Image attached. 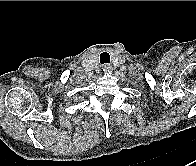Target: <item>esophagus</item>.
I'll list each match as a JSON object with an SVG mask.
<instances>
[{"label":"esophagus","mask_w":196,"mask_h":166,"mask_svg":"<svg viewBox=\"0 0 196 166\" xmlns=\"http://www.w3.org/2000/svg\"><path fill=\"white\" fill-rule=\"evenodd\" d=\"M103 70L104 71H109L110 70V67L109 66H103Z\"/></svg>","instance_id":"esophagus-1"}]
</instances>
